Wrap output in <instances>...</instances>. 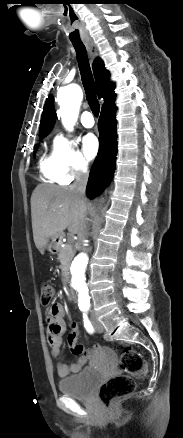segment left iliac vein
<instances>
[{"mask_svg":"<svg viewBox=\"0 0 183 438\" xmlns=\"http://www.w3.org/2000/svg\"><path fill=\"white\" fill-rule=\"evenodd\" d=\"M92 323L97 332H103V326L102 324L97 320L95 315H92Z\"/></svg>","mask_w":183,"mask_h":438,"instance_id":"4c4485c4","label":"left iliac vein"}]
</instances>
